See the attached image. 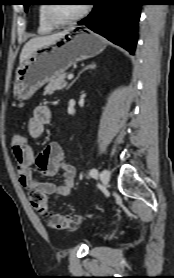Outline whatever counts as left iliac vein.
<instances>
[{
  "label": "left iliac vein",
  "mask_w": 174,
  "mask_h": 278,
  "mask_svg": "<svg viewBox=\"0 0 174 278\" xmlns=\"http://www.w3.org/2000/svg\"><path fill=\"white\" fill-rule=\"evenodd\" d=\"M100 180L104 186L109 183L110 180V172L107 169H104L100 174Z\"/></svg>",
  "instance_id": "left-iliac-vein-1"
}]
</instances>
